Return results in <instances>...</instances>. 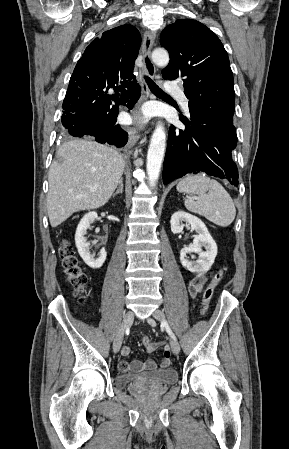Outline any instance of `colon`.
<instances>
[{
	"mask_svg": "<svg viewBox=\"0 0 289 449\" xmlns=\"http://www.w3.org/2000/svg\"><path fill=\"white\" fill-rule=\"evenodd\" d=\"M59 255L64 274L68 282L73 286V288L77 292L79 296V302L83 303L84 301L83 293L85 292L87 287L88 277L80 264L76 252L68 242L64 241L60 246ZM225 273L226 268H221L220 270H218L213 275L211 281L205 288L201 299L202 314H205L208 311L214 290L218 286L220 281L223 279ZM149 340H150L149 337L145 336L143 337L142 342L143 344H147Z\"/></svg>",
	"mask_w": 289,
	"mask_h": 449,
	"instance_id": "obj_1",
	"label": "colon"
}]
</instances>
